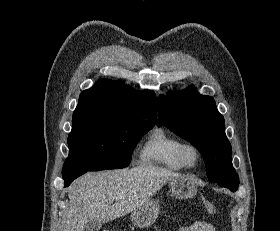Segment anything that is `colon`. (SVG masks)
Wrapping results in <instances>:
<instances>
[{
  "label": "colon",
  "instance_id": "1",
  "mask_svg": "<svg viewBox=\"0 0 280 231\" xmlns=\"http://www.w3.org/2000/svg\"><path fill=\"white\" fill-rule=\"evenodd\" d=\"M203 205L208 213L215 214L217 212L215 204L209 199H204Z\"/></svg>",
  "mask_w": 280,
  "mask_h": 231
}]
</instances>
